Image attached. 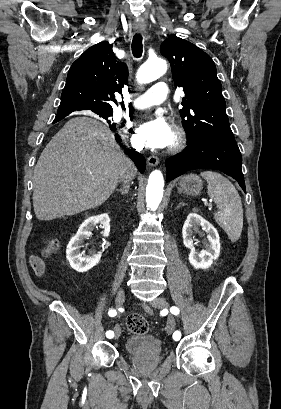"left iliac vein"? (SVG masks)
I'll list each match as a JSON object with an SVG mask.
<instances>
[{"label":"left iliac vein","instance_id":"left-iliac-vein-1","mask_svg":"<svg viewBox=\"0 0 281 409\" xmlns=\"http://www.w3.org/2000/svg\"><path fill=\"white\" fill-rule=\"evenodd\" d=\"M150 304L154 308L164 309V310H167V308L169 307L168 302L164 298H156ZM174 329H175V319L172 315H169L168 320H167V327H166L167 333L171 334L174 331Z\"/></svg>","mask_w":281,"mask_h":409}]
</instances>
